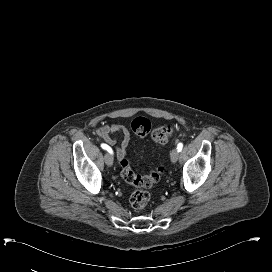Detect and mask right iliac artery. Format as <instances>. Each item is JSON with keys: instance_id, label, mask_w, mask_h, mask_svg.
Instances as JSON below:
<instances>
[{"instance_id": "right-iliac-artery-1", "label": "right iliac artery", "mask_w": 272, "mask_h": 272, "mask_svg": "<svg viewBox=\"0 0 272 272\" xmlns=\"http://www.w3.org/2000/svg\"><path fill=\"white\" fill-rule=\"evenodd\" d=\"M101 147H102L103 149L107 150L109 153L113 154L112 149H111L108 145L102 143V144H101Z\"/></svg>"}]
</instances>
